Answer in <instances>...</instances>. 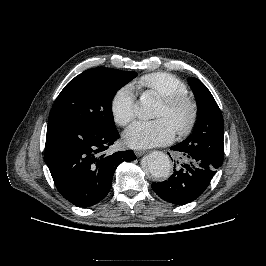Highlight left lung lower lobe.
Returning a JSON list of instances; mask_svg holds the SVG:
<instances>
[{
    "label": "left lung lower lobe",
    "mask_w": 266,
    "mask_h": 266,
    "mask_svg": "<svg viewBox=\"0 0 266 266\" xmlns=\"http://www.w3.org/2000/svg\"><path fill=\"white\" fill-rule=\"evenodd\" d=\"M171 150L181 152L185 156L184 163L179 169H174L168 180L152 183V189L167 202L187 204L205 191L221 165L199 155L186 153L178 145L172 146Z\"/></svg>",
    "instance_id": "left-lung-lower-lobe-1"
}]
</instances>
